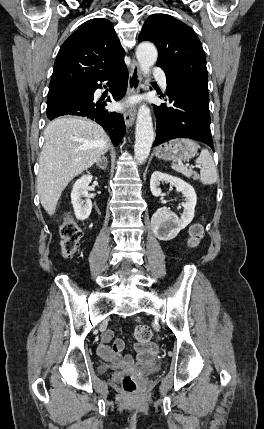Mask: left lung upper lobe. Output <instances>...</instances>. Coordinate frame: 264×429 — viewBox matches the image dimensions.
I'll list each match as a JSON object with an SVG mask.
<instances>
[{"instance_id": "obj_1", "label": "left lung upper lobe", "mask_w": 264, "mask_h": 429, "mask_svg": "<svg viewBox=\"0 0 264 429\" xmlns=\"http://www.w3.org/2000/svg\"><path fill=\"white\" fill-rule=\"evenodd\" d=\"M138 39L155 44L158 66L208 90L205 53L188 25L167 14H153L145 21Z\"/></svg>"}]
</instances>
